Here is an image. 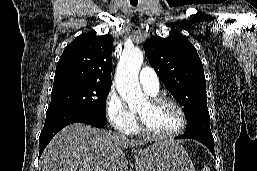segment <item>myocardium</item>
<instances>
[{
  "label": "myocardium",
  "mask_w": 257,
  "mask_h": 171,
  "mask_svg": "<svg viewBox=\"0 0 257 171\" xmlns=\"http://www.w3.org/2000/svg\"><path fill=\"white\" fill-rule=\"evenodd\" d=\"M149 102L151 105H158L160 103H170L172 104L176 110L178 111L179 115H180V126L178 127V129H176L173 132L170 133H159L156 132L154 130H152L146 123L144 117L137 113V125L139 130L148 135L151 136L153 138H157V139H171V138H175L177 136H179L186 128L187 125V117H186V113L184 111V109L182 108V106L172 97L169 96H164V95H154L151 96L149 98Z\"/></svg>",
  "instance_id": "obj_1"
}]
</instances>
